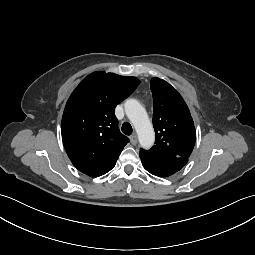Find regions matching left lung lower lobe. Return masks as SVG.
<instances>
[{
    "instance_id": "1",
    "label": "left lung lower lobe",
    "mask_w": 255,
    "mask_h": 255,
    "mask_svg": "<svg viewBox=\"0 0 255 255\" xmlns=\"http://www.w3.org/2000/svg\"><path fill=\"white\" fill-rule=\"evenodd\" d=\"M139 156L144 168L151 174L159 177H168L175 174L181 170L188 161V159H178L172 163L164 164L153 162L141 154H139Z\"/></svg>"
}]
</instances>
